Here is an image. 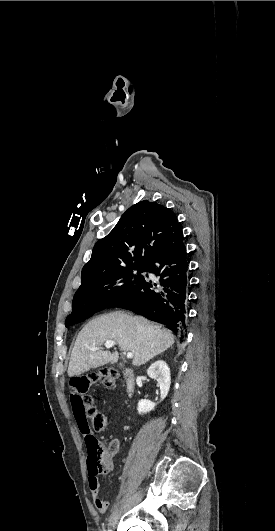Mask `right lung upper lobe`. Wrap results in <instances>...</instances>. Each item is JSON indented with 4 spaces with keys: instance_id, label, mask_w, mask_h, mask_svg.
Instances as JSON below:
<instances>
[{
    "instance_id": "cb5924a9",
    "label": "right lung upper lobe",
    "mask_w": 275,
    "mask_h": 531,
    "mask_svg": "<svg viewBox=\"0 0 275 531\" xmlns=\"http://www.w3.org/2000/svg\"><path fill=\"white\" fill-rule=\"evenodd\" d=\"M180 223L168 208L147 200L130 207L113 230L94 246L81 273V286L125 267L147 266Z\"/></svg>"
}]
</instances>
